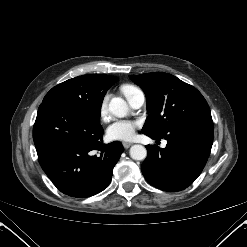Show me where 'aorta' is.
I'll list each match as a JSON object with an SVG mask.
<instances>
[{
    "mask_svg": "<svg viewBox=\"0 0 247 247\" xmlns=\"http://www.w3.org/2000/svg\"><path fill=\"white\" fill-rule=\"evenodd\" d=\"M109 111L116 117L122 118L129 112L126 101L120 97H114L109 103ZM147 156V150L143 145H133L130 148V157L134 160H144Z\"/></svg>",
    "mask_w": 247,
    "mask_h": 247,
    "instance_id": "762f6f07",
    "label": "aorta"
}]
</instances>
